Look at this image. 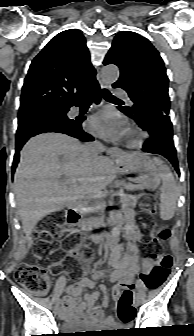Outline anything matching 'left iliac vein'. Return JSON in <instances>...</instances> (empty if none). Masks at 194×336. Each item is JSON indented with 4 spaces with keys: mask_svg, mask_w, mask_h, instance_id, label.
I'll list each match as a JSON object with an SVG mask.
<instances>
[{
    "mask_svg": "<svg viewBox=\"0 0 194 336\" xmlns=\"http://www.w3.org/2000/svg\"><path fill=\"white\" fill-rule=\"evenodd\" d=\"M139 305V302L136 300L135 301V306H138Z\"/></svg>",
    "mask_w": 194,
    "mask_h": 336,
    "instance_id": "obj_1",
    "label": "left iliac vein"
}]
</instances>
